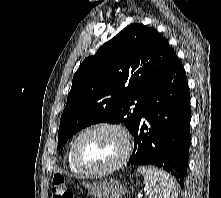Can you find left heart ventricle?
Instances as JSON below:
<instances>
[{"label":"left heart ventricle","mask_w":221,"mask_h":198,"mask_svg":"<svg viewBox=\"0 0 221 198\" xmlns=\"http://www.w3.org/2000/svg\"><path fill=\"white\" fill-rule=\"evenodd\" d=\"M123 150L121 137L113 130L96 129L85 134L78 142L77 154L80 162L97 169L114 163Z\"/></svg>","instance_id":"left-heart-ventricle-1"}]
</instances>
